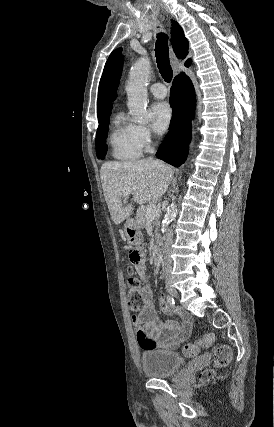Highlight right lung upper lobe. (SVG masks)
<instances>
[{
    "instance_id": "right-lung-upper-lobe-1",
    "label": "right lung upper lobe",
    "mask_w": 274,
    "mask_h": 427,
    "mask_svg": "<svg viewBox=\"0 0 274 427\" xmlns=\"http://www.w3.org/2000/svg\"><path fill=\"white\" fill-rule=\"evenodd\" d=\"M171 44L178 58L183 59L186 57V55L188 54V47H189L188 40L185 38L184 32L180 27V25L174 20H172ZM121 51H122L121 48L114 50L110 54L105 64L103 74L99 83L97 113L112 107V104L107 102L105 98V83H106V79L109 74V71L111 70L112 65L114 64L117 57L120 55ZM189 64H190V60H187L185 65L188 66Z\"/></svg>"
}]
</instances>
